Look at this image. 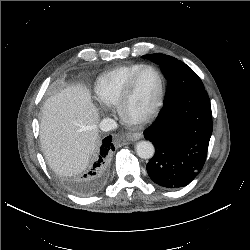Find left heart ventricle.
I'll list each match as a JSON object with an SVG mask.
<instances>
[{
	"label": "left heart ventricle",
	"mask_w": 250,
	"mask_h": 250,
	"mask_svg": "<svg viewBox=\"0 0 250 250\" xmlns=\"http://www.w3.org/2000/svg\"><path fill=\"white\" fill-rule=\"evenodd\" d=\"M157 75L151 71H144L136 82L133 94L128 103V113L131 116L143 114L152 104L158 91Z\"/></svg>",
	"instance_id": "1"
}]
</instances>
